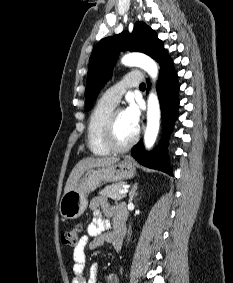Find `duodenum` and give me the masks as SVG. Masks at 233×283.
I'll return each instance as SVG.
<instances>
[{"label": "duodenum", "instance_id": "duodenum-1", "mask_svg": "<svg viewBox=\"0 0 233 283\" xmlns=\"http://www.w3.org/2000/svg\"><path fill=\"white\" fill-rule=\"evenodd\" d=\"M123 218L125 219V216ZM124 236H125V220H120L117 223L112 233V244L117 251L121 250Z\"/></svg>", "mask_w": 233, "mask_h": 283}]
</instances>
